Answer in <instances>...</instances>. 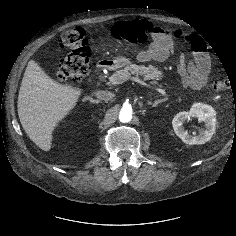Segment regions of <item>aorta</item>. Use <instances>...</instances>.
I'll return each mask as SVG.
<instances>
[{"mask_svg": "<svg viewBox=\"0 0 236 236\" xmlns=\"http://www.w3.org/2000/svg\"><path fill=\"white\" fill-rule=\"evenodd\" d=\"M119 120L122 123H128L132 120V108L129 106H124L120 110Z\"/></svg>", "mask_w": 236, "mask_h": 236, "instance_id": "762f6f07", "label": "aorta"}]
</instances>
